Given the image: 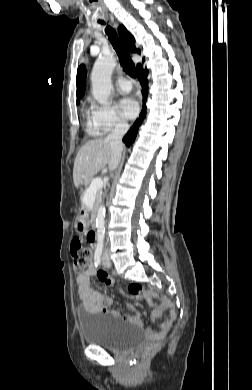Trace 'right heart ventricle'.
<instances>
[{
  "instance_id": "1",
  "label": "right heart ventricle",
  "mask_w": 252,
  "mask_h": 390,
  "mask_svg": "<svg viewBox=\"0 0 252 390\" xmlns=\"http://www.w3.org/2000/svg\"><path fill=\"white\" fill-rule=\"evenodd\" d=\"M87 132H88L89 134H95V133L92 131V129H91L90 121L87 123Z\"/></svg>"
}]
</instances>
